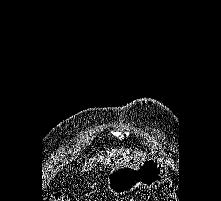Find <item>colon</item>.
Wrapping results in <instances>:
<instances>
[{
  "label": "colon",
  "instance_id": "5ec220e1",
  "mask_svg": "<svg viewBox=\"0 0 221 201\" xmlns=\"http://www.w3.org/2000/svg\"><path fill=\"white\" fill-rule=\"evenodd\" d=\"M48 201H71V199L64 194L59 193L51 197ZM166 201H181L179 193L175 191L167 198Z\"/></svg>",
  "mask_w": 221,
  "mask_h": 201
}]
</instances>
